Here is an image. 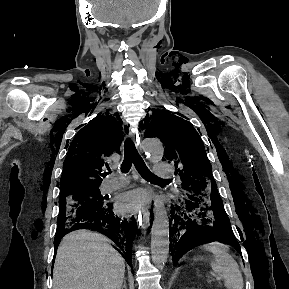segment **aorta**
<instances>
[{
  "mask_svg": "<svg viewBox=\"0 0 289 289\" xmlns=\"http://www.w3.org/2000/svg\"><path fill=\"white\" fill-rule=\"evenodd\" d=\"M142 149L146 157L152 162H159L163 158V144L158 139H144L142 141ZM151 254L155 266L163 269L169 254V220L164 202L159 198L154 200Z\"/></svg>",
  "mask_w": 289,
  "mask_h": 289,
  "instance_id": "1",
  "label": "aorta"
}]
</instances>
